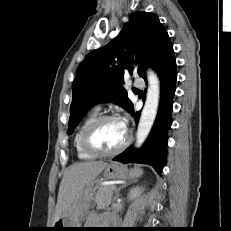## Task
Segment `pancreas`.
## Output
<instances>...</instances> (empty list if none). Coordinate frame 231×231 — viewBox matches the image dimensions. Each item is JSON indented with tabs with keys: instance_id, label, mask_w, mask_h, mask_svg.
<instances>
[{
	"instance_id": "1",
	"label": "pancreas",
	"mask_w": 231,
	"mask_h": 231,
	"mask_svg": "<svg viewBox=\"0 0 231 231\" xmlns=\"http://www.w3.org/2000/svg\"><path fill=\"white\" fill-rule=\"evenodd\" d=\"M113 186H102L99 187L96 196H95V202L99 208H105L112 202L113 197Z\"/></svg>"
}]
</instances>
